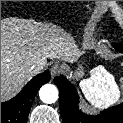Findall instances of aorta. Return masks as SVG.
<instances>
[{"label":"aorta","instance_id":"obj_1","mask_svg":"<svg viewBox=\"0 0 123 123\" xmlns=\"http://www.w3.org/2000/svg\"><path fill=\"white\" fill-rule=\"evenodd\" d=\"M39 96L42 102L52 104L58 99V89L52 84H45L41 87Z\"/></svg>","mask_w":123,"mask_h":123}]
</instances>
